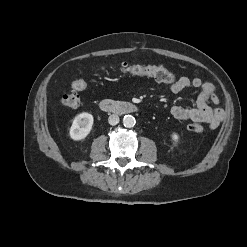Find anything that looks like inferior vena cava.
<instances>
[{"label":"inferior vena cava","instance_id":"1","mask_svg":"<svg viewBox=\"0 0 247 247\" xmlns=\"http://www.w3.org/2000/svg\"><path fill=\"white\" fill-rule=\"evenodd\" d=\"M119 120H120L119 119V116L116 115V114H112L108 118V122H109L110 125H116V124H118L119 123Z\"/></svg>","mask_w":247,"mask_h":247}]
</instances>
